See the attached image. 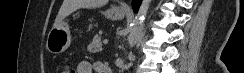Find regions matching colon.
<instances>
[{
  "instance_id": "1",
  "label": "colon",
  "mask_w": 244,
  "mask_h": 73,
  "mask_svg": "<svg viewBox=\"0 0 244 73\" xmlns=\"http://www.w3.org/2000/svg\"><path fill=\"white\" fill-rule=\"evenodd\" d=\"M60 73H73V69H72L71 65L66 64L61 67Z\"/></svg>"
}]
</instances>
